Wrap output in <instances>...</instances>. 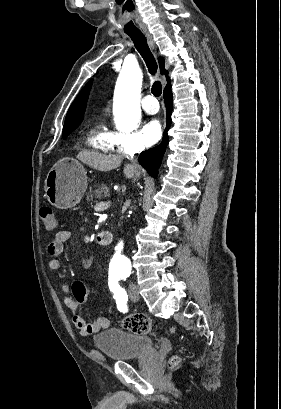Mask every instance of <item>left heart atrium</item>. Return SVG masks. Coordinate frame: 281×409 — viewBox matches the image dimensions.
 Instances as JSON below:
<instances>
[{
  "mask_svg": "<svg viewBox=\"0 0 281 409\" xmlns=\"http://www.w3.org/2000/svg\"><path fill=\"white\" fill-rule=\"evenodd\" d=\"M161 137V124L157 119L150 120L143 129V140L147 145L155 144Z\"/></svg>",
  "mask_w": 281,
  "mask_h": 409,
  "instance_id": "39dd6f15",
  "label": "left heart atrium"
}]
</instances>
